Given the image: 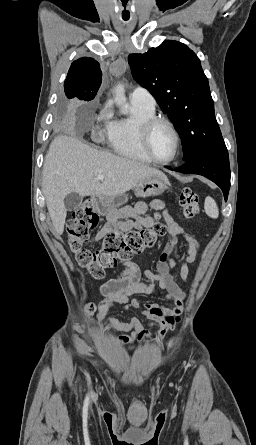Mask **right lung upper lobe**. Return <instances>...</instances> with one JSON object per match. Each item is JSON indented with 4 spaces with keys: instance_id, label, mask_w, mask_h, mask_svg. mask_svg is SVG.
I'll use <instances>...</instances> for the list:
<instances>
[{
    "instance_id": "right-lung-upper-lobe-1",
    "label": "right lung upper lobe",
    "mask_w": 256,
    "mask_h": 445,
    "mask_svg": "<svg viewBox=\"0 0 256 445\" xmlns=\"http://www.w3.org/2000/svg\"><path fill=\"white\" fill-rule=\"evenodd\" d=\"M102 72L100 64L93 58L83 57L71 64L64 82L68 98L84 101L94 99L101 85Z\"/></svg>"
}]
</instances>
